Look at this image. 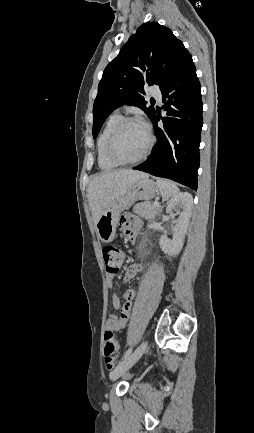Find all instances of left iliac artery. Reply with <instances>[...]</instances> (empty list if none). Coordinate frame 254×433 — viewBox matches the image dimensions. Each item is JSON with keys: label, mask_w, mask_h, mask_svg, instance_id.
I'll return each instance as SVG.
<instances>
[{"label": "left iliac artery", "mask_w": 254, "mask_h": 433, "mask_svg": "<svg viewBox=\"0 0 254 433\" xmlns=\"http://www.w3.org/2000/svg\"><path fill=\"white\" fill-rule=\"evenodd\" d=\"M132 352V348H129L123 355L122 360H124L125 358H127Z\"/></svg>", "instance_id": "44dca946"}]
</instances>
